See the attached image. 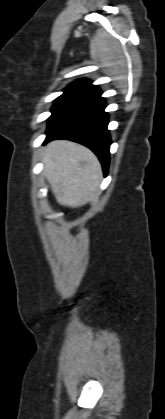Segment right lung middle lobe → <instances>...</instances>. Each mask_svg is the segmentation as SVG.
Here are the masks:
<instances>
[{
  "mask_svg": "<svg viewBox=\"0 0 165 419\" xmlns=\"http://www.w3.org/2000/svg\"><path fill=\"white\" fill-rule=\"evenodd\" d=\"M83 98L82 95L78 94V93H73V92H67L65 91L61 96H59L53 107H52V114L58 112L59 110L67 107L68 105L76 102L77 100Z\"/></svg>",
  "mask_w": 165,
  "mask_h": 419,
  "instance_id": "dd1d6c3e",
  "label": "right lung middle lobe"
}]
</instances>
